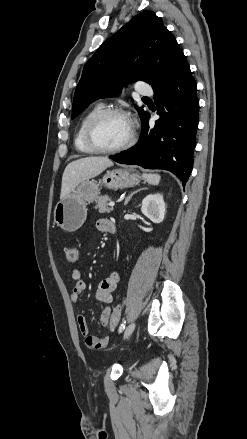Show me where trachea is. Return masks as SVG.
Instances as JSON below:
<instances>
[{
	"label": "trachea",
	"instance_id": "obj_1",
	"mask_svg": "<svg viewBox=\"0 0 247 439\" xmlns=\"http://www.w3.org/2000/svg\"><path fill=\"white\" fill-rule=\"evenodd\" d=\"M143 99H148L147 97H143Z\"/></svg>",
	"mask_w": 247,
	"mask_h": 439
}]
</instances>
